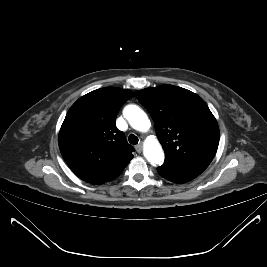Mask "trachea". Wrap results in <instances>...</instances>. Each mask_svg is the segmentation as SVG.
Here are the masks:
<instances>
[{
	"label": "trachea",
	"instance_id": "3493384b",
	"mask_svg": "<svg viewBox=\"0 0 267 267\" xmlns=\"http://www.w3.org/2000/svg\"><path fill=\"white\" fill-rule=\"evenodd\" d=\"M128 141H129L130 144L136 145V144H138L139 140H138L136 135L130 134L129 137H128Z\"/></svg>",
	"mask_w": 267,
	"mask_h": 267
}]
</instances>
